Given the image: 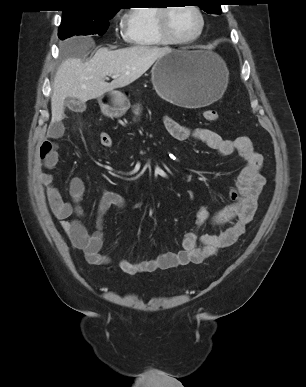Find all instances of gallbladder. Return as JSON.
I'll return each instance as SVG.
<instances>
[{
    "instance_id": "gallbladder-1",
    "label": "gallbladder",
    "mask_w": 306,
    "mask_h": 387,
    "mask_svg": "<svg viewBox=\"0 0 306 387\" xmlns=\"http://www.w3.org/2000/svg\"><path fill=\"white\" fill-rule=\"evenodd\" d=\"M65 106H67L71 110H76L77 102L73 98H66L64 102Z\"/></svg>"
}]
</instances>
